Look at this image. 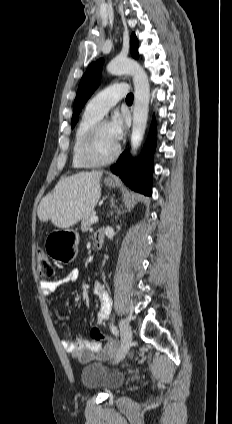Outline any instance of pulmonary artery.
I'll return each mask as SVG.
<instances>
[{"mask_svg": "<svg viewBox=\"0 0 232 424\" xmlns=\"http://www.w3.org/2000/svg\"><path fill=\"white\" fill-rule=\"evenodd\" d=\"M128 85L119 83L113 84L100 91L87 104V109L98 114L105 115L110 108L128 94Z\"/></svg>", "mask_w": 232, "mask_h": 424, "instance_id": "e3ab8cb5", "label": "pulmonary artery"}]
</instances>
